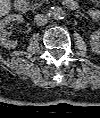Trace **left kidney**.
<instances>
[{"mask_svg":"<svg viewBox=\"0 0 100 118\" xmlns=\"http://www.w3.org/2000/svg\"><path fill=\"white\" fill-rule=\"evenodd\" d=\"M90 44L93 50L99 51L100 47V33L96 31L91 35Z\"/></svg>","mask_w":100,"mask_h":118,"instance_id":"obj_1","label":"left kidney"}]
</instances>
